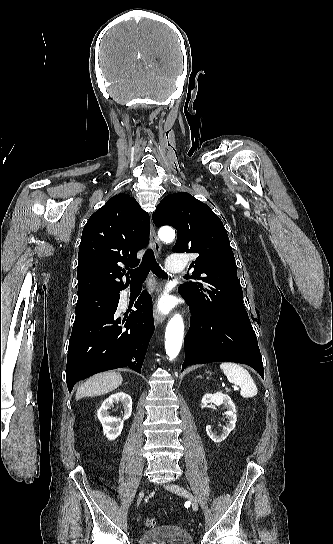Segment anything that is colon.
I'll use <instances>...</instances> for the list:
<instances>
[{"label":"colon","instance_id":"obj_1","mask_svg":"<svg viewBox=\"0 0 333 544\" xmlns=\"http://www.w3.org/2000/svg\"><path fill=\"white\" fill-rule=\"evenodd\" d=\"M158 525V521L155 518H150L145 521V526L147 528H155Z\"/></svg>","mask_w":333,"mask_h":544}]
</instances>
